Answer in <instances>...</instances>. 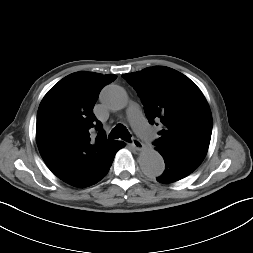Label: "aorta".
Wrapping results in <instances>:
<instances>
[{"instance_id": "obj_1", "label": "aorta", "mask_w": 253, "mask_h": 253, "mask_svg": "<svg viewBox=\"0 0 253 253\" xmlns=\"http://www.w3.org/2000/svg\"><path fill=\"white\" fill-rule=\"evenodd\" d=\"M100 101L106 109L118 111L127 106L128 95L122 87L108 85L101 91ZM139 165L151 177L160 176L165 169L163 157L154 149H146L140 153Z\"/></svg>"}]
</instances>
